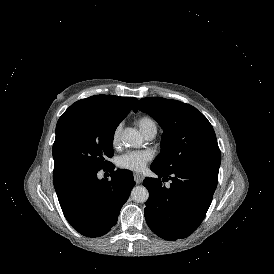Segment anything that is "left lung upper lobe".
<instances>
[{
	"label": "left lung upper lobe",
	"instance_id": "5c2ea615",
	"mask_svg": "<svg viewBox=\"0 0 274 274\" xmlns=\"http://www.w3.org/2000/svg\"><path fill=\"white\" fill-rule=\"evenodd\" d=\"M164 130L161 153L152 165L165 171L200 167L219 170L221 153L212 125L193 106L161 97L142 98L134 106Z\"/></svg>",
	"mask_w": 274,
	"mask_h": 274
}]
</instances>
